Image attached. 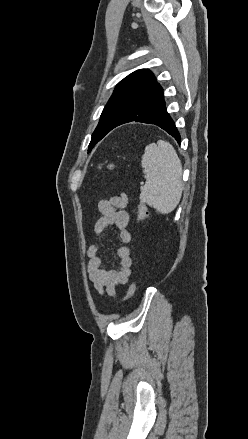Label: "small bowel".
I'll return each mask as SVG.
<instances>
[{
	"label": "small bowel",
	"instance_id": "obj_1",
	"mask_svg": "<svg viewBox=\"0 0 248 439\" xmlns=\"http://www.w3.org/2000/svg\"><path fill=\"white\" fill-rule=\"evenodd\" d=\"M128 197L122 193L117 196L103 199L98 202V210L101 217L94 225V234L97 239L106 237V230L115 227L118 232L120 245L116 250L119 259L118 269H104L100 257L98 245H91L87 249V273L88 279L100 295L115 298L117 287L125 285L131 275L132 257L127 244L131 241V233L128 229L129 215L125 210Z\"/></svg>",
	"mask_w": 248,
	"mask_h": 439
}]
</instances>
